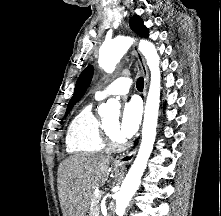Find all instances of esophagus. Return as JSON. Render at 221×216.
I'll use <instances>...</instances> for the list:
<instances>
[{"instance_id": "esophagus-1", "label": "esophagus", "mask_w": 221, "mask_h": 216, "mask_svg": "<svg viewBox=\"0 0 221 216\" xmlns=\"http://www.w3.org/2000/svg\"><path fill=\"white\" fill-rule=\"evenodd\" d=\"M133 50H134V53L136 55L137 61L139 63L141 72H142V74L144 76L143 96L145 98L146 94H147L148 84H149L148 68L146 66V62H145L144 57L142 56V54L140 53V51L138 49V45L137 44H134ZM136 151H137V149H134L133 151H131V152H129V153L123 155V156H120V157L116 158L115 161H114V164L118 165V166H122V167L130 164L132 162V160L134 159L135 155H136Z\"/></svg>"}]
</instances>
